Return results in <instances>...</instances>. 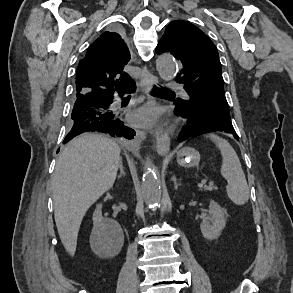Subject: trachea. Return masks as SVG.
I'll return each mask as SVG.
<instances>
[{
	"label": "trachea",
	"mask_w": 293,
	"mask_h": 293,
	"mask_svg": "<svg viewBox=\"0 0 293 293\" xmlns=\"http://www.w3.org/2000/svg\"><path fill=\"white\" fill-rule=\"evenodd\" d=\"M156 92L157 93H172L171 91H169L167 89H162V88H157Z\"/></svg>",
	"instance_id": "trachea-1"
}]
</instances>
